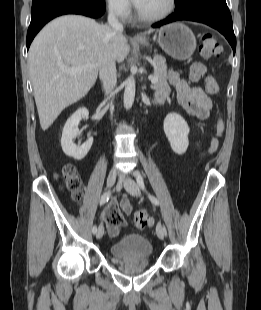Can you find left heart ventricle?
<instances>
[{
	"label": "left heart ventricle",
	"mask_w": 261,
	"mask_h": 310,
	"mask_svg": "<svg viewBox=\"0 0 261 310\" xmlns=\"http://www.w3.org/2000/svg\"><path fill=\"white\" fill-rule=\"evenodd\" d=\"M168 5V0H142L138 9L145 15L161 13Z\"/></svg>",
	"instance_id": "1"
}]
</instances>
